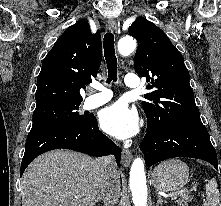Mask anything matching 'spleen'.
I'll list each match as a JSON object with an SVG mask.
<instances>
[{"instance_id":"1","label":"spleen","mask_w":221,"mask_h":206,"mask_svg":"<svg viewBox=\"0 0 221 206\" xmlns=\"http://www.w3.org/2000/svg\"><path fill=\"white\" fill-rule=\"evenodd\" d=\"M217 181L211 179L206 185V201L204 206H221Z\"/></svg>"}]
</instances>
